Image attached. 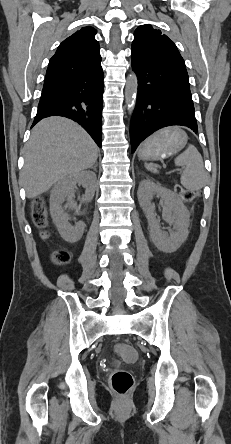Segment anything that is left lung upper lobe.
<instances>
[{"instance_id":"5c2ea615","label":"left lung upper lobe","mask_w":231,"mask_h":444,"mask_svg":"<svg viewBox=\"0 0 231 444\" xmlns=\"http://www.w3.org/2000/svg\"><path fill=\"white\" fill-rule=\"evenodd\" d=\"M131 56L169 65L188 77L184 60L174 42L149 24L141 25L135 30Z\"/></svg>"}]
</instances>
